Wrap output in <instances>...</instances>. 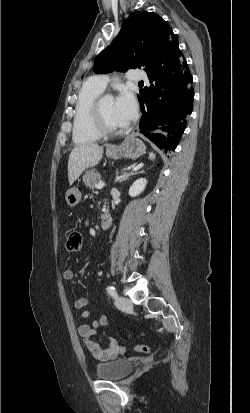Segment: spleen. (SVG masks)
<instances>
[{
  "mask_svg": "<svg viewBox=\"0 0 250 413\" xmlns=\"http://www.w3.org/2000/svg\"><path fill=\"white\" fill-rule=\"evenodd\" d=\"M149 158H150L151 160H154V159H155V154L151 152V153L149 154Z\"/></svg>",
  "mask_w": 250,
  "mask_h": 413,
  "instance_id": "obj_1",
  "label": "spleen"
}]
</instances>
